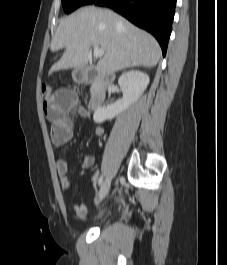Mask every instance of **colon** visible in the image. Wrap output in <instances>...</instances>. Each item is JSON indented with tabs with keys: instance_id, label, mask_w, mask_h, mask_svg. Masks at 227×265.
Masks as SVG:
<instances>
[{
	"instance_id": "colon-1",
	"label": "colon",
	"mask_w": 227,
	"mask_h": 265,
	"mask_svg": "<svg viewBox=\"0 0 227 265\" xmlns=\"http://www.w3.org/2000/svg\"><path fill=\"white\" fill-rule=\"evenodd\" d=\"M41 95H42L43 102H51V99H55V92L50 85L42 86Z\"/></svg>"
}]
</instances>
